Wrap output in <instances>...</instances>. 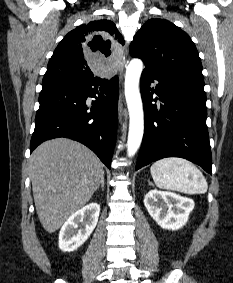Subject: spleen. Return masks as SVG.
<instances>
[{"label":"spleen","instance_id":"spleen-1","mask_svg":"<svg viewBox=\"0 0 233 283\" xmlns=\"http://www.w3.org/2000/svg\"><path fill=\"white\" fill-rule=\"evenodd\" d=\"M155 185L160 189L185 194H204L208 185L202 172L191 162L182 158H164L150 168Z\"/></svg>","mask_w":233,"mask_h":283}]
</instances>
